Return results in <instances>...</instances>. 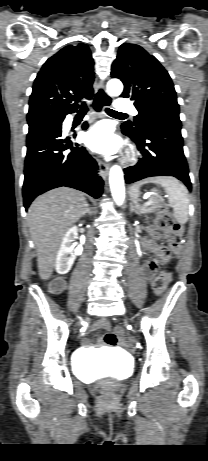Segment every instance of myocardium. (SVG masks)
Instances as JSON below:
<instances>
[{"mask_svg":"<svg viewBox=\"0 0 208 461\" xmlns=\"http://www.w3.org/2000/svg\"><path fill=\"white\" fill-rule=\"evenodd\" d=\"M130 158H131L130 156L127 157V159H130Z\"/></svg>","mask_w":208,"mask_h":461,"instance_id":"f54148a6","label":"myocardium"}]
</instances>
